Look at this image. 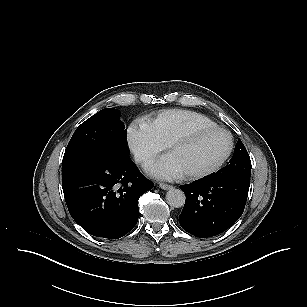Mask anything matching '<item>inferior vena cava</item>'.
I'll use <instances>...</instances> for the list:
<instances>
[{
  "label": "inferior vena cava",
  "mask_w": 307,
  "mask_h": 307,
  "mask_svg": "<svg viewBox=\"0 0 307 307\" xmlns=\"http://www.w3.org/2000/svg\"><path fill=\"white\" fill-rule=\"evenodd\" d=\"M140 161H141V160H140ZM142 163H143V164H148V161L142 160Z\"/></svg>",
  "instance_id": "inferior-vena-cava-1"
}]
</instances>
